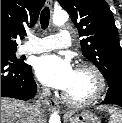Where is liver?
<instances>
[{
  "mask_svg": "<svg viewBox=\"0 0 122 123\" xmlns=\"http://www.w3.org/2000/svg\"><path fill=\"white\" fill-rule=\"evenodd\" d=\"M43 115L37 116L34 105L10 98H1V123H42Z\"/></svg>",
  "mask_w": 122,
  "mask_h": 123,
  "instance_id": "obj_1",
  "label": "liver"
}]
</instances>
